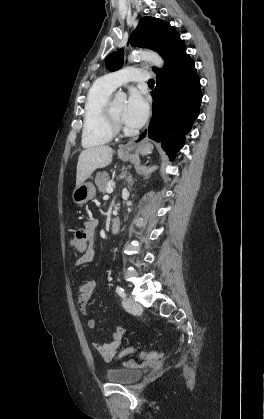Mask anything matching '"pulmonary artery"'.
I'll list each match as a JSON object with an SVG mask.
<instances>
[{
  "instance_id": "pulmonary-artery-1",
  "label": "pulmonary artery",
  "mask_w": 264,
  "mask_h": 419,
  "mask_svg": "<svg viewBox=\"0 0 264 419\" xmlns=\"http://www.w3.org/2000/svg\"><path fill=\"white\" fill-rule=\"evenodd\" d=\"M149 77V73L144 69L126 67L109 73L103 76L100 80L108 88L115 90L117 87L128 81H147Z\"/></svg>"
}]
</instances>
